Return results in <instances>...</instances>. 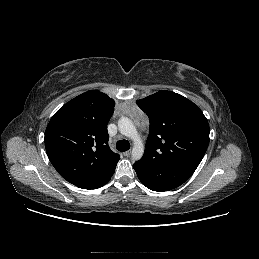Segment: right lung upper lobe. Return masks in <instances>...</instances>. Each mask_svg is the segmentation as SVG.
<instances>
[{"instance_id": "cb5924a9", "label": "right lung upper lobe", "mask_w": 259, "mask_h": 259, "mask_svg": "<svg viewBox=\"0 0 259 259\" xmlns=\"http://www.w3.org/2000/svg\"><path fill=\"white\" fill-rule=\"evenodd\" d=\"M115 102L96 90L63 105L45 131L48 158L73 185L90 188L114 173L120 157L108 145L107 124Z\"/></svg>"}]
</instances>
